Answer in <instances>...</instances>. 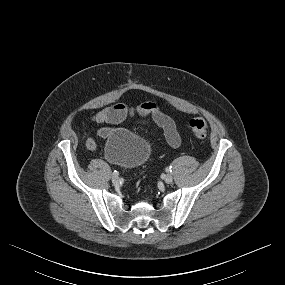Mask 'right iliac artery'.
I'll return each mask as SVG.
<instances>
[{
    "instance_id": "82829eb1",
    "label": "right iliac artery",
    "mask_w": 285,
    "mask_h": 285,
    "mask_svg": "<svg viewBox=\"0 0 285 285\" xmlns=\"http://www.w3.org/2000/svg\"><path fill=\"white\" fill-rule=\"evenodd\" d=\"M113 175H114V176H118V175H119V172L115 170V171L113 172Z\"/></svg>"
}]
</instances>
